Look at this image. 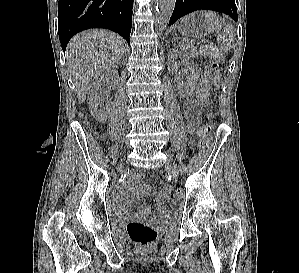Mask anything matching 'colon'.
I'll return each mask as SVG.
<instances>
[{
	"instance_id": "colon-1",
	"label": "colon",
	"mask_w": 299,
	"mask_h": 273,
	"mask_svg": "<svg viewBox=\"0 0 299 273\" xmlns=\"http://www.w3.org/2000/svg\"><path fill=\"white\" fill-rule=\"evenodd\" d=\"M205 52L214 53V49L211 47H206ZM217 64L215 62H209L204 74L201 77L198 89H197V99L199 105H205L209 99L210 89L212 79L216 70ZM210 126L204 124L197 130V136L199 138V145L202 149H207L211 143L212 138L210 135ZM183 201V193L181 190H176L173 194V202L175 204H180ZM126 231L129 238L136 244L142 247H148L152 245L158 237V231L151 225L132 221L127 224Z\"/></svg>"
}]
</instances>
